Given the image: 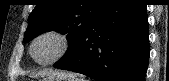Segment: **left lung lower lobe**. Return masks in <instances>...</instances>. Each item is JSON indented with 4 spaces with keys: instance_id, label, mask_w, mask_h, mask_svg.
I'll use <instances>...</instances> for the list:
<instances>
[{
    "instance_id": "obj_1",
    "label": "left lung lower lobe",
    "mask_w": 169,
    "mask_h": 81,
    "mask_svg": "<svg viewBox=\"0 0 169 81\" xmlns=\"http://www.w3.org/2000/svg\"><path fill=\"white\" fill-rule=\"evenodd\" d=\"M149 52L146 4L111 0L88 26L71 57L54 67L98 81H144Z\"/></svg>"
}]
</instances>
